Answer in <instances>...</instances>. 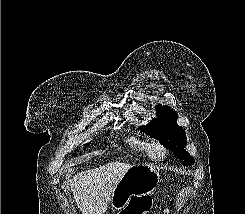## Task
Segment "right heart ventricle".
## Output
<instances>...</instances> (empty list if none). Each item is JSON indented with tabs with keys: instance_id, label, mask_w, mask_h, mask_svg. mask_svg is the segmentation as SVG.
<instances>
[{
	"instance_id": "e07e8e85",
	"label": "right heart ventricle",
	"mask_w": 245,
	"mask_h": 214,
	"mask_svg": "<svg viewBox=\"0 0 245 214\" xmlns=\"http://www.w3.org/2000/svg\"><path fill=\"white\" fill-rule=\"evenodd\" d=\"M127 142L131 148H133L139 152H142L146 155H150L149 154L150 143L148 141L142 140V139L136 138V137H129L127 139Z\"/></svg>"
}]
</instances>
